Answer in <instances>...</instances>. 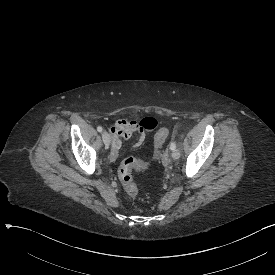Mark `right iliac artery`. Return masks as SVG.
I'll use <instances>...</instances> for the list:
<instances>
[{"label":"right iliac artery","instance_id":"right-iliac-artery-1","mask_svg":"<svg viewBox=\"0 0 275 275\" xmlns=\"http://www.w3.org/2000/svg\"><path fill=\"white\" fill-rule=\"evenodd\" d=\"M97 131H98V132H102V131H103V128H102L101 126H98V127H97Z\"/></svg>","mask_w":275,"mask_h":275}]
</instances>
